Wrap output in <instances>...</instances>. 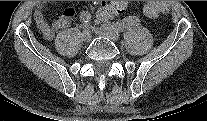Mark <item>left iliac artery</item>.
Masks as SVG:
<instances>
[{"label": "left iliac artery", "instance_id": "44dca946", "mask_svg": "<svg viewBox=\"0 0 207 121\" xmlns=\"http://www.w3.org/2000/svg\"><path fill=\"white\" fill-rule=\"evenodd\" d=\"M138 21V18L135 15H132L129 18H124L120 21V23L109 24V26L113 27L119 32H123L128 26H132Z\"/></svg>", "mask_w": 207, "mask_h": 121}]
</instances>
